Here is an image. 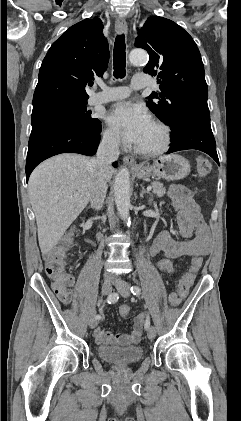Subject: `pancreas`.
Wrapping results in <instances>:
<instances>
[{"label": "pancreas", "mask_w": 241, "mask_h": 421, "mask_svg": "<svg viewBox=\"0 0 241 421\" xmlns=\"http://www.w3.org/2000/svg\"><path fill=\"white\" fill-rule=\"evenodd\" d=\"M152 193L155 194L157 197H163L166 193V188L163 186L161 182L153 181L151 183Z\"/></svg>", "instance_id": "pancreas-1"}]
</instances>
